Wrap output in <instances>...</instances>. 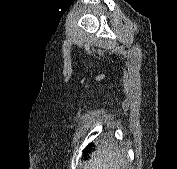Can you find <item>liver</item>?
<instances>
[{
    "instance_id": "liver-1",
    "label": "liver",
    "mask_w": 177,
    "mask_h": 169,
    "mask_svg": "<svg viewBox=\"0 0 177 169\" xmlns=\"http://www.w3.org/2000/svg\"><path fill=\"white\" fill-rule=\"evenodd\" d=\"M84 169H125L124 159L115 147L94 152Z\"/></svg>"
}]
</instances>
